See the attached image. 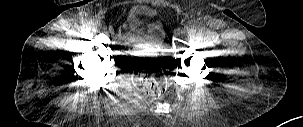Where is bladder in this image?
<instances>
[{
    "mask_svg": "<svg viewBox=\"0 0 303 127\" xmlns=\"http://www.w3.org/2000/svg\"><path fill=\"white\" fill-rule=\"evenodd\" d=\"M125 38L144 39L161 42L165 36L162 20L157 13L145 6H133L129 9L121 26Z\"/></svg>",
    "mask_w": 303,
    "mask_h": 127,
    "instance_id": "obj_1",
    "label": "bladder"
}]
</instances>
